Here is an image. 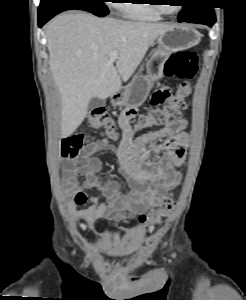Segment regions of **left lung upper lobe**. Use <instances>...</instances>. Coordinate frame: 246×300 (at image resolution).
I'll use <instances>...</instances> for the list:
<instances>
[{"instance_id":"left-lung-upper-lobe-1","label":"left lung upper lobe","mask_w":246,"mask_h":300,"mask_svg":"<svg viewBox=\"0 0 246 300\" xmlns=\"http://www.w3.org/2000/svg\"><path fill=\"white\" fill-rule=\"evenodd\" d=\"M189 5L183 6L182 11L179 13L178 20H182L199 13H202L206 10L212 9L208 5L207 0H186Z\"/></svg>"}]
</instances>
